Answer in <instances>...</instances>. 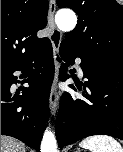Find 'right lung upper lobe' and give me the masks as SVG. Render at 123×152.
<instances>
[{
	"label": "right lung upper lobe",
	"mask_w": 123,
	"mask_h": 152,
	"mask_svg": "<svg viewBox=\"0 0 123 152\" xmlns=\"http://www.w3.org/2000/svg\"><path fill=\"white\" fill-rule=\"evenodd\" d=\"M47 12L48 0H1V65L20 64L47 43L36 35Z\"/></svg>",
	"instance_id": "obj_1"
}]
</instances>
